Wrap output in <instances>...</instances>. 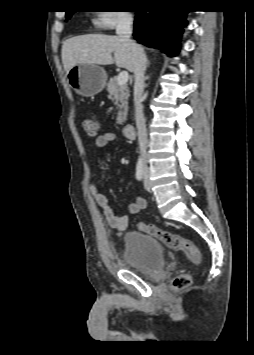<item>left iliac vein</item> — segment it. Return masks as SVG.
I'll list each match as a JSON object with an SVG mask.
<instances>
[{"instance_id":"left-iliac-vein-1","label":"left iliac vein","mask_w":254,"mask_h":355,"mask_svg":"<svg viewBox=\"0 0 254 355\" xmlns=\"http://www.w3.org/2000/svg\"><path fill=\"white\" fill-rule=\"evenodd\" d=\"M144 187L146 190H150L151 188V183H150V179H149V168L147 166L144 167Z\"/></svg>"}]
</instances>
